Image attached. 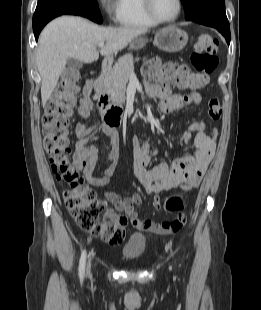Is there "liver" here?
Here are the masks:
<instances>
[{
  "instance_id": "6515ba94",
  "label": "liver",
  "mask_w": 261,
  "mask_h": 310,
  "mask_svg": "<svg viewBox=\"0 0 261 310\" xmlns=\"http://www.w3.org/2000/svg\"><path fill=\"white\" fill-rule=\"evenodd\" d=\"M144 33L145 30L136 28L101 27L76 16H62L51 21L40 34L36 54L43 106L57 86L69 57L92 63L99 58V43H105L100 54L111 56Z\"/></svg>"
}]
</instances>
